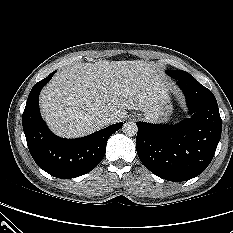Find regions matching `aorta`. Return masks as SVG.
Segmentation results:
<instances>
[{
    "label": "aorta",
    "instance_id": "1",
    "mask_svg": "<svg viewBox=\"0 0 233 233\" xmlns=\"http://www.w3.org/2000/svg\"><path fill=\"white\" fill-rule=\"evenodd\" d=\"M122 131L126 136L132 137L137 134L138 128L134 122H126L122 126Z\"/></svg>",
    "mask_w": 233,
    "mask_h": 233
}]
</instances>
